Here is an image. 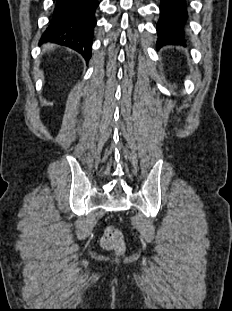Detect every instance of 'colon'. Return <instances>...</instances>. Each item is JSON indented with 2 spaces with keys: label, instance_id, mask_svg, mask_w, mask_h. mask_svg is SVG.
I'll return each mask as SVG.
<instances>
[{
  "label": "colon",
  "instance_id": "1",
  "mask_svg": "<svg viewBox=\"0 0 232 311\" xmlns=\"http://www.w3.org/2000/svg\"><path fill=\"white\" fill-rule=\"evenodd\" d=\"M101 245L106 250L114 251L117 253L122 252L125 247L122 232L114 226L106 227L101 238Z\"/></svg>",
  "mask_w": 232,
  "mask_h": 311
}]
</instances>
